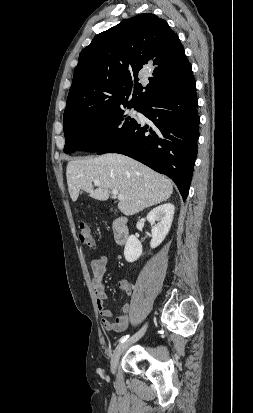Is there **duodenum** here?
Instances as JSON below:
<instances>
[{"label":"duodenum","instance_id":"obj_1","mask_svg":"<svg viewBox=\"0 0 253 413\" xmlns=\"http://www.w3.org/2000/svg\"><path fill=\"white\" fill-rule=\"evenodd\" d=\"M115 242L125 244L129 237L128 219L125 216L118 217L113 223Z\"/></svg>","mask_w":253,"mask_h":413}]
</instances>
